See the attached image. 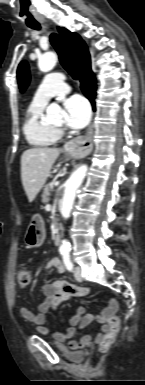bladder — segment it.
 I'll return each instance as SVG.
<instances>
[{
	"mask_svg": "<svg viewBox=\"0 0 145 385\" xmlns=\"http://www.w3.org/2000/svg\"><path fill=\"white\" fill-rule=\"evenodd\" d=\"M60 348L63 349L62 346H60ZM70 356H71V357H74V358L77 359V360H83V359H84V353H83V352H76V353H74V354H71V353H70Z\"/></svg>",
	"mask_w": 145,
	"mask_h": 385,
	"instance_id": "1",
	"label": "bladder"
}]
</instances>
